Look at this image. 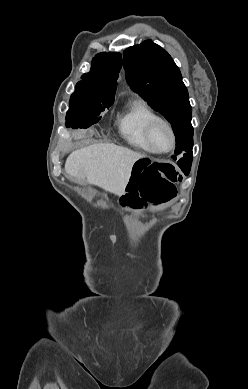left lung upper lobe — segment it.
<instances>
[{
	"label": "left lung upper lobe",
	"mask_w": 248,
	"mask_h": 389,
	"mask_svg": "<svg viewBox=\"0 0 248 389\" xmlns=\"http://www.w3.org/2000/svg\"><path fill=\"white\" fill-rule=\"evenodd\" d=\"M124 68L131 89L171 123L177 143L175 154L192 152V108L180 70L171 56L146 40L124 51Z\"/></svg>",
	"instance_id": "5c2ea615"
}]
</instances>
